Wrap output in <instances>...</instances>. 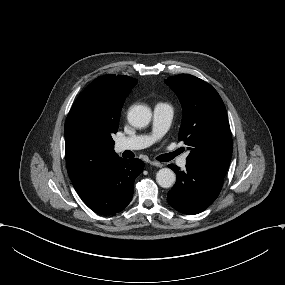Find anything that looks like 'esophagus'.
Instances as JSON below:
<instances>
[{"mask_svg":"<svg viewBox=\"0 0 285 285\" xmlns=\"http://www.w3.org/2000/svg\"><path fill=\"white\" fill-rule=\"evenodd\" d=\"M150 165L161 168L163 165L157 161H150Z\"/></svg>","mask_w":285,"mask_h":285,"instance_id":"1","label":"esophagus"}]
</instances>
